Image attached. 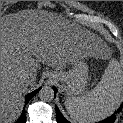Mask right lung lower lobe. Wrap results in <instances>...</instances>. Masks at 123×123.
Returning <instances> with one entry per match:
<instances>
[{
	"label": "right lung lower lobe",
	"mask_w": 123,
	"mask_h": 123,
	"mask_svg": "<svg viewBox=\"0 0 123 123\" xmlns=\"http://www.w3.org/2000/svg\"><path fill=\"white\" fill-rule=\"evenodd\" d=\"M40 89H41V87L36 89L35 91L27 94L26 98H25V103H28L29 100L32 99V97L35 96L40 91ZM15 123H26L25 108L23 109L21 116Z\"/></svg>",
	"instance_id": "1"
}]
</instances>
